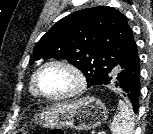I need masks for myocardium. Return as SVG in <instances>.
<instances>
[{"instance_id":"f54148a6","label":"myocardium","mask_w":153,"mask_h":134,"mask_svg":"<svg viewBox=\"0 0 153 134\" xmlns=\"http://www.w3.org/2000/svg\"><path fill=\"white\" fill-rule=\"evenodd\" d=\"M50 66H59L68 70L75 77L76 84L74 88L68 92L57 95H49L43 93L39 88V76L45 68ZM86 85L87 79L84 72L76 64L64 59H51L46 61L36 70L33 77V87L36 94L50 101H59L75 97L85 90Z\"/></svg>"}]
</instances>
